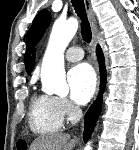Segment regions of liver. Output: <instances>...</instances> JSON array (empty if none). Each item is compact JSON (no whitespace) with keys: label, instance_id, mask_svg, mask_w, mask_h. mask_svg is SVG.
Returning a JSON list of instances; mask_svg holds the SVG:
<instances>
[{"label":"liver","instance_id":"liver-1","mask_svg":"<svg viewBox=\"0 0 139 150\" xmlns=\"http://www.w3.org/2000/svg\"><path fill=\"white\" fill-rule=\"evenodd\" d=\"M75 146V140H70L68 134L56 133L43 135L36 138L30 150H72Z\"/></svg>","mask_w":139,"mask_h":150}]
</instances>
